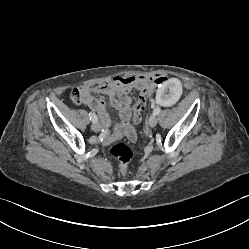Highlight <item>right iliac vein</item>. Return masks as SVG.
Returning a JSON list of instances; mask_svg holds the SVG:
<instances>
[{"instance_id":"1","label":"right iliac vein","mask_w":249,"mask_h":249,"mask_svg":"<svg viewBox=\"0 0 249 249\" xmlns=\"http://www.w3.org/2000/svg\"><path fill=\"white\" fill-rule=\"evenodd\" d=\"M91 128L94 132H98L100 130V126L97 122H93Z\"/></svg>"}]
</instances>
